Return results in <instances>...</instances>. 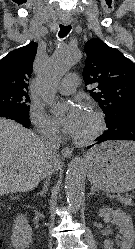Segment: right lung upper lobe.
Masks as SVG:
<instances>
[{"label":"right lung upper lobe","instance_id":"obj_1","mask_svg":"<svg viewBox=\"0 0 135 249\" xmlns=\"http://www.w3.org/2000/svg\"><path fill=\"white\" fill-rule=\"evenodd\" d=\"M36 51L37 43L30 42L0 60V91L28 90Z\"/></svg>","mask_w":135,"mask_h":249}]
</instances>
